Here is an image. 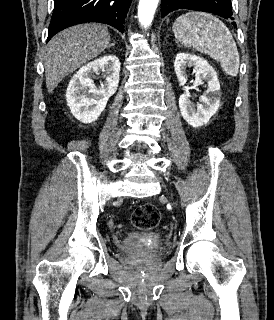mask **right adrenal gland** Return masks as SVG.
I'll use <instances>...</instances> for the list:
<instances>
[{"label": "right adrenal gland", "instance_id": "1", "mask_svg": "<svg viewBox=\"0 0 274 320\" xmlns=\"http://www.w3.org/2000/svg\"><path fill=\"white\" fill-rule=\"evenodd\" d=\"M111 46H115V42H114V44H111ZM111 46H109V48H111Z\"/></svg>", "mask_w": 274, "mask_h": 320}]
</instances>
